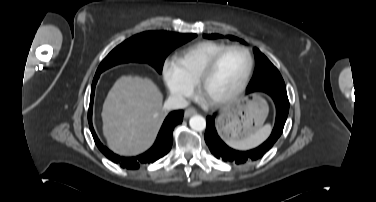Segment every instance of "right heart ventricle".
Masks as SVG:
<instances>
[{"label":"right heart ventricle","instance_id":"obj_1","mask_svg":"<svg viewBox=\"0 0 376 202\" xmlns=\"http://www.w3.org/2000/svg\"><path fill=\"white\" fill-rule=\"evenodd\" d=\"M225 47L227 45L221 42L202 41L178 52L174 60L185 79L196 85L206 64Z\"/></svg>","mask_w":376,"mask_h":202}]
</instances>
